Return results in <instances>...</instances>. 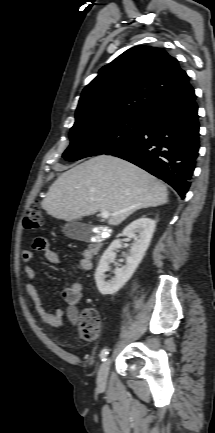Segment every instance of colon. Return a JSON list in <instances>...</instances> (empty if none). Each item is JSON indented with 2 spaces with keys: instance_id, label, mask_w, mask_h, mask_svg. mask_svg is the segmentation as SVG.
I'll list each match as a JSON object with an SVG mask.
<instances>
[{
  "instance_id": "1",
  "label": "colon",
  "mask_w": 215,
  "mask_h": 433,
  "mask_svg": "<svg viewBox=\"0 0 215 433\" xmlns=\"http://www.w3.org/2000/svg\"><path fill=\"white\" fill-rule=\"evenodd\" d=\"M42 216L40 206L32 204L26 211L23 227L26 231H34L41 227ZM100 324V317L98 312L93 308L83 310L81 314L79 333L82 339L91 340L95 337Z\"/></svg>"
}]
</instances>
